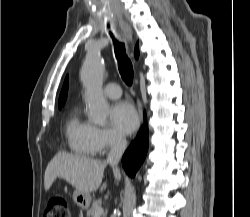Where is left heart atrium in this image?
Wrapping results in <instances>:
<instances>
[{
  "label": "left heart atrium",
  "instance_id": "39dd6f15",
  "mask_svg": "<svg viewBox=\"0 0 250 217\" xmlns=\"http://www.w3.org/2000/svg\"><path fill=\"white\" fill-rule=\"evenodd\" d=\"M110 121L113 127L122 134H131L138 126V115L128 102H117L110 109Z\"/></svg>",
  "mask_w": 250,
  "mask_h": 217
}]
</instances>
